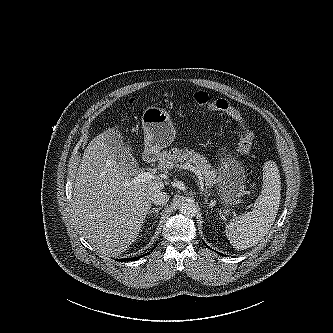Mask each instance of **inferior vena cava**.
I'll return each instance as SVG.
<instances>
[{"mask_svg": "<svg viewBox=\"0 0 333 333\" xmlns=\"http://www.w3.org/2000/svg\"><path fill=\"white\" fill-rule=\"evenodd\" d=\"M169 200V195L166 192L156 191L152 195V202L155 205H166Z\"/></svg>", "mask_w": 333, "mask_h": 333, "instance_id": "602c4592", "label": "inferior vena cava"}]
</instances>
